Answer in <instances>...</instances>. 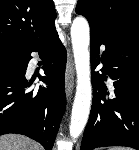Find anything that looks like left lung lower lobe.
<instances>
[{
    "instance_id": "0a47b994",
    "label": "left lung lower lobe",
    "mask_w": 139,
    "mask_h": 150,
    "mask_svg": "<svg viewBox=\"0 0 139 150\" xmlns=\"http://www.w3.org/2000/svg\"><path fill=\"white\" fill-rule=\"evenodd\" d=\"M93 102L81 150L105 146H127L139 150V26L109 40L90 31ZM101 45L106 47L99 56ZM114 80L107 92L104 81Z\"/></svg>"
}]
</instances>
